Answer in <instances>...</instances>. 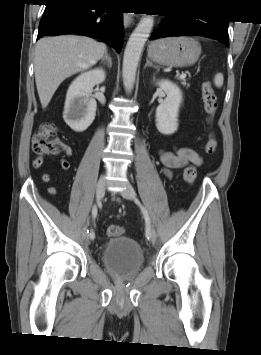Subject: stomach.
Returning a JSON list of instances; mask_svg holds the SVG:
<instances>
[{
  "mask_svg": "<svg viewBox=\"0 0 261 355\" xmlns=\"http://www.w3.org/2000/svg\"><path fill=\"white\" fill-rule=\"evenodd\" d=\"M201 46L188 37H169L153 41L148 47V57L162 66L183 67L195 63Z\"/></svg>",
  "mask_w": 261,
  "mask_h": 355,
  "instance_id": "stomach-1",
  "label": "stomach"
}]
</instances>
